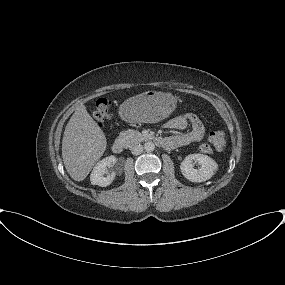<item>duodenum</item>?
I'll return each mask as SVG.
<instances>
[{"mask_svg": "<svg viewBox=\"0 0 285 285\" xmlns=\"http://www.w3.org/2000/svg\"><path fill=\"white\" fill-rule=\"evenodd\" d=\"M154 143L157 144L160 147H167L168 142L165 138L162 137H156L153 139ZM126 149V143L122 138L116 139L112 144V151L115 154H120L124 152Z\"/></svg>", "mask_w": 285, "mask_h": 285, "instance_id": "duodenum-1", "label": "duodenum"}]
</instances>
